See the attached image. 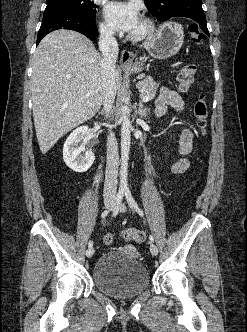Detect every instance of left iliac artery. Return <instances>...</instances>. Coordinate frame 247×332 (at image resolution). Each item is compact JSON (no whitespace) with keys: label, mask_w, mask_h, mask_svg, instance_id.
<instances>
[{"label":"left iliac artery","mask_w":247,"mask_h":332,"mask_svg":"<svg viewBox=\"0 0 247 332\" xmlns=\"http://www.w3.org/2000/svg\"><path fill=\"white\" fill-rule=\"evenodd\" d=\"M124 193H125V197H126V200H127L128 204H129V206H130L131 208L135 209L136 212H137L140 216H143V215H144V214H143V211L139 208L137 202L134 200V198H133V196H132V194H131V191H130L129 189H126V190L124 191ZM149 240H150L151 242H154V237H153L152 235H149Z\"/></svg>","instance_id":"obj_1"}]
</instances>
